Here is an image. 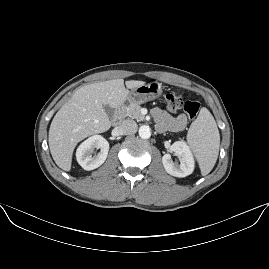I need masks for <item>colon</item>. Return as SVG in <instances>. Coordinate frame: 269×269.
Returning a JSON list of instances; mask_svg holds the SVG:
<instances>
[{
    "label": "colon",
    "mask_w": 269,
    "mask_h": 269,
    "mask_svg": "<svg viewBox=\"0 0 269 269\" xmlns=\"http://www.w3.org/2000/svg\"><path fill=\"white\" fill-rule=\"evenodd\" d=\"M165 107L172 113L184 110L191 119H194L201 109V104L197 100H184L180 94L169 91L165 95Z\"/></svg>",
    "instance_id": "obj_1"
}]
</instances>
